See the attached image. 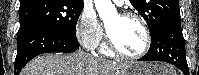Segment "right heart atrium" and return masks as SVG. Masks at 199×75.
Instances as JSON below:
<instances>
[{"mask_svg": "<svg viewBox=\"0 0 199 75\" xmlns=\"http://www.w3.org/2000/svg\"><path fill=\"white\" fill-rule=\"evenodd\" d=\"M76 34L79 41L88 49L97 48L104 38L102 26L95 13L84 10L76 25Z\"/></svg>", "mask_w": 199, "mask_h": 75, "instance_id": "right-heart-atrium-1", "label": "right heart atrium"}]
</instances>
